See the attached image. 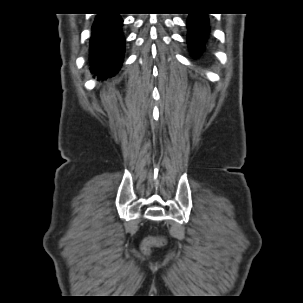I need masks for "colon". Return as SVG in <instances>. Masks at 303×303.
Instances as JSON below:
<instances>
[{"label":"colon","mask_w":303,"mask_h":303,"mask_svg":"<svg viewBox=\"0 0 303 303\" xmlns=\"http://www.w3.org/2000/svg\"><path fill=\"white\" fill-rule=\"evenodd\" d=\"M166 243L165 239L162 237H150L145 240L142 251L144 254H149L153 248H159L164 246Z\"/></svg>","instance_id":"obj_1"}]
</instances>
